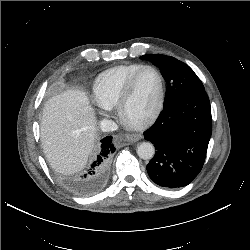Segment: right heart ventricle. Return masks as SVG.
Listing matches in <instances>:
<instances>
[{"instance_id":"1","label":"right heart ventricle","mask_w":250,"mask_h":250,"mask_svg":"<svg viewBox=\"0 0 250 250\" xmlns=\"http://www.w3.org/2000/svg\"><path fill=\"white\" fill-rule=\"evenodd\" d=\"M142 67L128 64L102 72L93 84L95 102L106 109L115 107L128 80Z\"/></svg>"}]
</instances>
